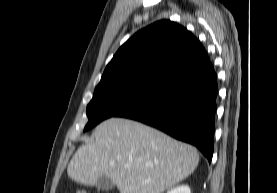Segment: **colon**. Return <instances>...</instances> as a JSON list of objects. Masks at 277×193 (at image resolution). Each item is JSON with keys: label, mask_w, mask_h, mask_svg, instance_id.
<instances>
[{"label": "colon", "mask_w": 277, "mask_h": 193, "mask_svg": "<svg viewBox=\"0 0 277 193\" xmlns=\"http://www.w3.org/2000/svg\"><path fill=\"white\" fill-rule=\"evenodd\" d=\"M76 193H88V192L85 190H78Z\"/></svg>", "instance_id": "1"}]
</instances>
